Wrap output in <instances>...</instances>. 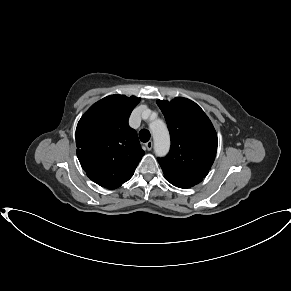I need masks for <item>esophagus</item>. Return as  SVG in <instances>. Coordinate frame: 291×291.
<instances>
[{
  "instance_id": "1",
  "label": "esophagus",
  "mask_w": 291,
  "mask_h": 291,
  "mask_svg": "<svg viewBox=\"0 0 291 291\" xmlns=\"http://www.w3.org/2000/svg\"><path fill=\"white\" fill-rule=\"evenodd\" d=\"M145 146H146V149H147V150H151L152 147H153V142H152V141H148V142L145 144Z\"/></svg>"
}]
</instances>
